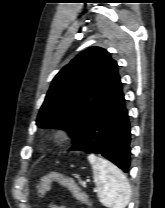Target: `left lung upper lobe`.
I'll list each match as a JSON object with an SVG mask.
<instances>
[{
    "label": "left lung upper lobe",
    "instance_id": "5c2ea615",
    "mask_svg": "<svg viewBox=\"0 0 165 208\" xmlns=\"http://www.w3.org/2000/svg\"><path fill=\"white\" fill-rule=\"evenodd\" d=\"M119 79L118 65L105 49L82 51L53 79L36 124L69 131L73 143Z\"/></svg>",
    "mask_w": 165,
    "mask_h": 208
}]
</instances>
